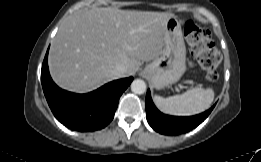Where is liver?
Returning <instances> with one entry per match:
<instances>
[{
    "label": "liver",
    "instance_id": "6515ba94",
    "mask_svg": "<svg viewBox=\"0 0 261 162\" xmlns=\"http://www.w3.org/2000/svg\"><path fill=\"white\" fill-rule=\"evenodd\" d=\"M167 12L96 7L69 16L52 40L48 64L63 89L86 93L115 78L138 71L141 62L157 58L164 48Z\"/></svg>",
    "mask_w": 261,
    "mask_h": 162
}]
</instances>
